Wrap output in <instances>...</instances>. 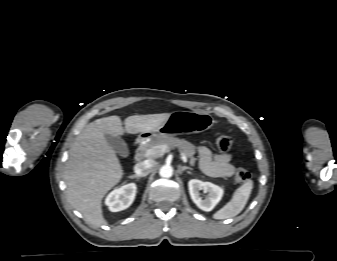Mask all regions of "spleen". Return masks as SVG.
I'll use <instances>...</instances> for the list:
<instances>
[{
	"mask_svg": "<svg viewBox=\"0 0 337 261\" xmlns=\"http://www.w3.org/2000/svg\"><path fill=\"white\" fill-rule=\"evenodd\" d=\"M252 188H253L252 180H249L240 187H238L233 193L231 200L226 205H224L220 210L214 213L213 218L227 219L238 215L247 204Z\"/></svg>",
	"mask_w": 337,
	"mask_h": 261,
	"instance_id": "3e777b00",
	"label": "spleen"
}]
</instances>
